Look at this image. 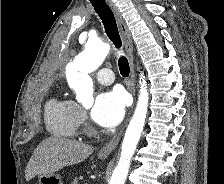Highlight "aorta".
Masks as SVG:
<instances>
[{
  "label": "aorta",
  "instance_id": "aorta-1",
  "mask_svg": "<svg viewBox=\"0 0 224 184\" xmlns=\"http://www.w3.org/2000/svg\"><path fill=\"white\" fill-rule=\"evenodd\" d=\"M110 45L100 39H89L85 49L66 67L68 85L76 93V99L84 106L93 104V82L89 73L95 71L105 60ZM148 90L143 73L140 74V91L137 105L126 129L121 147V156L109 184H124L143 131L148 110Z\"/></svg>",
  "mask_w": 224,
  "mask_h": 184
}]
</instances>
